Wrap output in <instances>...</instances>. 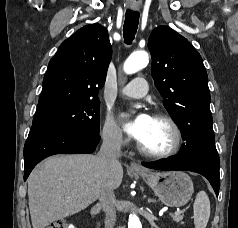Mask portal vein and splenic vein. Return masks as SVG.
Returning <instances> with one entry per match:
<instances>
[{
    "mask_svg": "<svg viewBox=\"0 0 238 228\" xmlns=\"http://www.w3.org/2000/svg\"><path fill=\"white\" fill-rule=\"evenodd\" d=\"M180 213H181V211L174 212L175 215H179Z\"/></svg>",
    "mask_w": 238,
    "mask_h": 228,
    "instance_id": "obj_1",
    "label": "portal vein and splenic vein"
}]
</instances>
